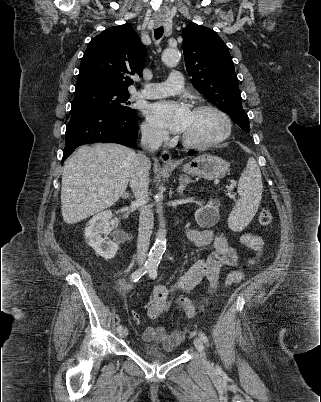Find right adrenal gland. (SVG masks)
<instances>
[{"instance_id":"right-adrenal-gland-1","label":"right adrenal gland","mask_w":321,"mask_h":402,"mask_svg":"<svg viewBox=\"0 0 321 402\" xmlns=\"http://www.w3.org/2000/svg\"><path fill=\"white\" fill-rule=\"evenodd\" d=\"M122 198H133V196H132V194H129L128 192H124L123 194H122Z\"/></svg>"}]
</instances>
